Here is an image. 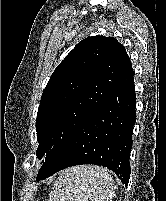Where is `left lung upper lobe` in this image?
Listing matches in <instances>:
<instances>
[{"instance_id":"5c2ea615","label":"left lung upper lobe","mask_w":166,"mask_h":201,"mask_svg":"<svg viewBox=\"0 0 166 201\" xmlns=\"http://www.w3.org/2000/svg\"><path fill=\"white\" fill-rule=\"evenodd\" d=\"M131 69L125 48L113 37L79 42L53 72L36 118V155L48 158L101 105Z\"/></svg>"}]
</instances>
